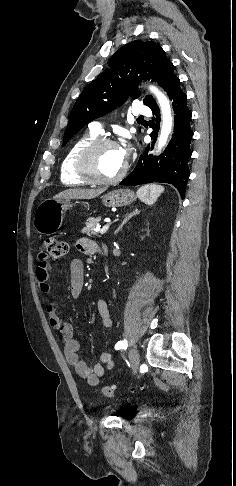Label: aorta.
I'll list each match as a JSON object with an SVG mask.
<instances>
[{"mask_svg":"<svg viewBox=\"0 0 236 486\" xmlns=\"http://www.w3.org/2000/svg\"><path fill=\"white\" fill-rule=\"evenodd\" d=\"M151 92L156 96L158 102L161 107L162 112V127L160 136L158 138V151L159 152L165 145L168 139L169 134L172 130V114H171V107L169 104L168 99L166 96L160 92L156 87H150Z\"/></svg>","mask_w":236,"mask_h":486,"instance_id":"1","label":"aorta"}]
</instances>
